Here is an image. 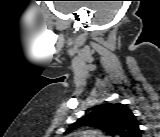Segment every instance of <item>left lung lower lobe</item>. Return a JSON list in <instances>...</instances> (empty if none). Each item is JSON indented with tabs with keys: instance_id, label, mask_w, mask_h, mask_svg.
Instances as JSON below:
<instances>
[{
	"instance_id": "0a47b994",
	"label": "left lung lower lobe",
	"mask_w": 160,
	"mask_h": 137,
	"mask_svg": "<svg viewBox=\"0 0 160 137\" xmlns=\"http://www.w3.org/2000/svg\"><path fill=\"white\" fill-rule=\"evenodd\" d=\"M141 136V131L139 127L131 134V137H140Z\"/></svg>"
}]
</instances>
